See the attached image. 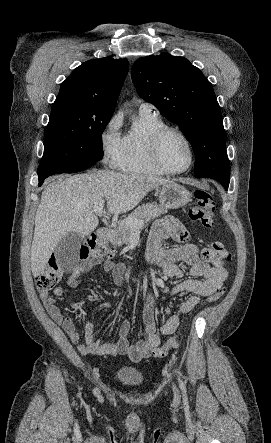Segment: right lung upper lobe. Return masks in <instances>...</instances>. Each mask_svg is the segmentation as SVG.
Wrapping results in <instances>:
<instances>
[{
	"label": "right lung upper lobe",
	"instance_id": "cb5924a9",
	"mask_svg": "<svg viewBox=\"0 0 271 443\" xmlns=\"http://www.w3.org/2000/svg\"><path fill=\"white\" fill-rule=\"evenodd\" d=\"M128 65L126 59L110 57L84 62L61 83L53 105H74L94 117L112 116Z\"/></svg>",
	"mask_w": 271,
	"mask_h": 443
}]
</instances>
